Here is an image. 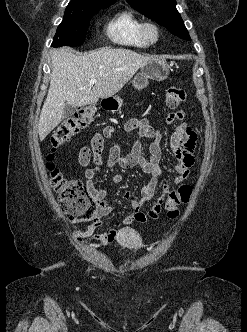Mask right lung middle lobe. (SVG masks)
Segmentation results:
<instances>
[{"label":"right lung middle lobe","instance_id":"right-lung-middle-lobe-1","mask_svg":"<svg viewBox=\"0 0 247 332\" xmlns=\"http://www.w3.org/2000/svg\"><path fill=\"white\" fill-rule=\"evenodd\" d=\"M111 4L79 6L68 4L64 18L57 28L51 46H80L85 39L90 19L100 9H105Z\"/></svg>","mask_w":247,"mask_h":332}]
</instances>
